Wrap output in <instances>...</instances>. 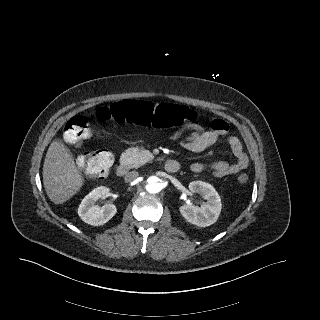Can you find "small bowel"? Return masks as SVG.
<instances>
[{
	"mask_svg": "<svg viewBox=\"0 0 320 320\" xmlns=\"http://www.w3.org/2000/svg\"><path fill=\"white\" fill-rule=\"evenodd\" d=\"M228 133V124L222 119H214L211 122V130H205L195 122L186 123L179 131L172 135V138H181L180 145L192 153H200L215 144L220 137ZM228 145L235 157L234 162L224 160L215 161L210 164L194 162L190 169L194 173H200L209 169L216 177L233 175L248 167L249 159L243 148L242 142L236 136L227 137Z\"/></svg>",
	"mask_w": 320,
	"mask_h": 320,
	"instance_id": "small-bowel-1",
	"label": "small bowel"
}]
</instances>
